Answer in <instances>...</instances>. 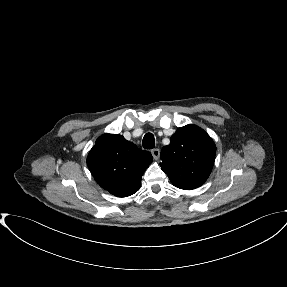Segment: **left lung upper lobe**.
Returning a JSON list of instances; mask_svg holds the SVG:
<instances>
[{
    "mask_svg": "<svg viewBox=\"0 0 287 287\" xmlns=\"http://www.w3.org/2000/svg\"><path fill=\"white\" fill-rule=\"evenodd\" d=\"M215 154L211 137L196 125H186L178 128L170 144L162 148L160 165L175 187L192 190L209 177Z\"/></svg>",
    "mask_w": 287,
    "mask_h": 287,
    "instance_id": "5c2ea615",
    "label": "left lung upper lobe"
}]
</instances>
